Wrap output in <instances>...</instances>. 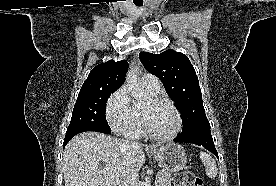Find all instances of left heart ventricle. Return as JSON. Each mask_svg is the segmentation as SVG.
I'll list each match as a JSON object with an SVG mask.
<instances>
[{
  "mask_svg": "<svg viewBox=\"0 0 276 186\" xmlns=\"http://www.w3.org/2000/svg\"><path fill=\"white\" fill-rule=\"evenodd\" d=\"M142 112L150 129L156 134L168 135L177 128V116L167 105H156L150 101L142 108Z\"/></svg>",
  "mask_w": 276,
  "mask_h": 186,
  "instance_id": "left-heart-ventricle-1",
  "label": "left heart ventricle"
}]
</instances>
